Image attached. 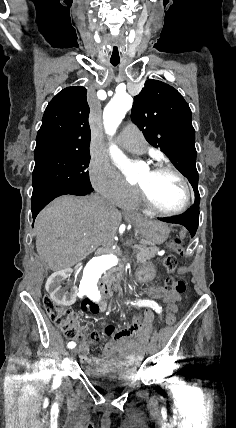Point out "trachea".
<instances>
[{
  "instance_id": "obj_1",
  "label": "trachea",
  "mask_w": 236,
  "mask_h": 428,
  "mask_svg": "<svg viewBox=\"0 0 236 428\" xmlns=\"http://www.w3.org/2000/svg\"><path fill=\"white\" fill-rule=\"evenodd\" d=\"M122 56V52L119 51V48L117 46H112L107 54L108 63L116 67L118 64L121 63Z\"/></svg>"
}]
</instances>
